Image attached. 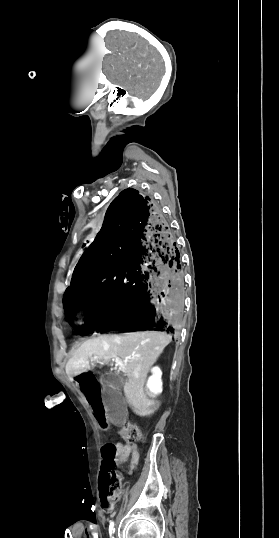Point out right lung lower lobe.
I'll list each match as a JSON object with an SVG mask.
<instances>
[{
  "label": "right lung lower lobe",
  "instance_id": "1",
  "mask_svg": "<svg viewBox=\"0 0 279 538\" xmlns=\"http://www.w3.org/2000/svg\"><path fill=\"white\" fill-rule=\"evenodd\" d=\"M183 300L182 263L164 213L148 196L123 190L75 267L63 296L67 314L78 305L89 307V322L80 334H174L182 321Z\"/></svg>",
  "mask_w": 279,
  "mask_h": 538
}]
</instances>
